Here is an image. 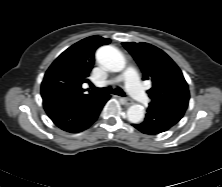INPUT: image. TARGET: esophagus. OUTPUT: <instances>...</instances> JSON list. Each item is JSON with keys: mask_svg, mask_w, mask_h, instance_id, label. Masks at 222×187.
<instances>
[{"mask_svg": "<svg viewBox=\"0 0 222 187\" xmlns=\"http://www.w3.org/2000/svg\"><path fill=\"white\" fill-rule=\"evenodd\" d=\"M119 99H120V101H121L123 104H125V105H127V106H130V105L132 104V101L129 100V99H126V98H123V97H120Z\"/></svg>", "mask_w": 222, "mask_h": 187, "instance_id": "esophagus-1", "label": "esophagus"}]
</instances>
